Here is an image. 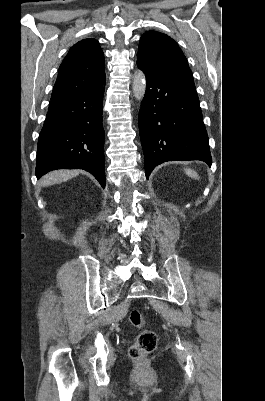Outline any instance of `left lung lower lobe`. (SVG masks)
I'll return each mask as SVG.
<instances>
[{"label": "left lung lower lobe", "instance_id": "1", "mask_svg": "<svg viewBox=\"0 0 265 401\" xmlns=\"http://www.w3.org/2000/svg\"><path fill=\"white\" fill-rule=\"evenodd\" d=\"M137 65L147 82L139 111L146 178L166 161L202 160L210 166L208 135L194 81L161 76Z\"/></svg>", "mask_w": 265, "mask_h": 401}]
</instances>
